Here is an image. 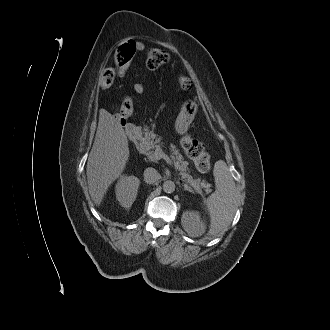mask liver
I'll return each instance as SVG.
<instances>
[{
    "label": "liver",
    "instance_id": "liver-1",
    "mask_svg": "<svg viewBox=\"0 0 330 330\" xmlns=\"http://www.w3.org/2000/svg\"><path fill=\"white\" fill-rule=\"evenodd\" d=\"M128 158L124 129L112 114L101 109L86 169L89 194L97 206H100L108 187L123 172Z\"/></svg>",
    "mask_w": 330,
    "mask_h": 330
}]
</instances>
